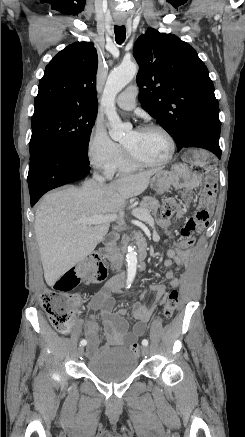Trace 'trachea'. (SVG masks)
Masks as SVG:
<instances>
[{"label": "trachea", "mask_w": 245, "mask_h": 437, "mask_svg": "<svg viewBox=\"0 0 245 437\" xmlns=\"http://www.w3.org/2000/svg\"><path fill=\"white\" fill-rule=\"evenodd\" d=\"M114 32H115V40L116 42L121 45L125 39H126V29L125 26H114Z\"/></svg>", "instance_id": "3493384b"}]
</instances>
